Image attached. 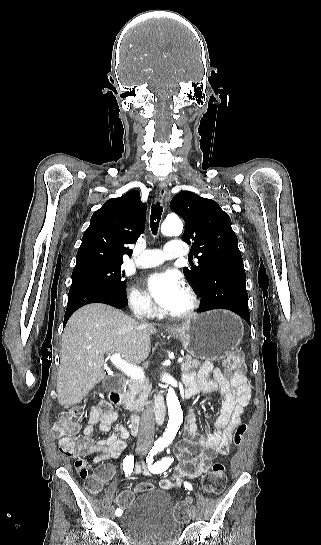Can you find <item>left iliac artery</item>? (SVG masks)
Masks as SVG:
<instances>
[{
    "mask_svg": "<svg viewBox=\"0 0 321 545\" xmlns=\"http://www.w3.org/2000/svg\"><path fill=\"white\" fill-rule=\"evenodd\" d=\"M164 449V446L162 445H156L154 446L147 458H146V462L148 464V467H149V470L152 472V473H161L163 471H165L169 465L173 462V458H169V457H165L163 458L162 460L160 461H157L153 464V457L158 454L160 451H162ZM184 487L185 489H189V490H192V485L188 482H184Z\"/></svg>",
    "mask_w": 321,
    "mask_h": 545,
    "instance_id": "44dca946",
    "label": "left iliac artery"
}]
</instances>
